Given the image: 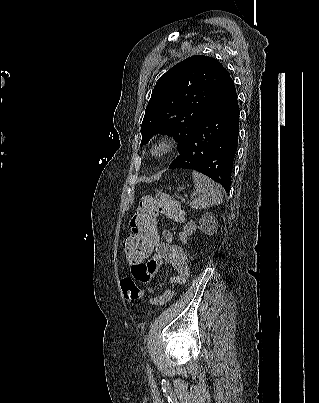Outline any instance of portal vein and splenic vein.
<instances>
[{
    "label": "portal vein and splenic vein",
    "instance_id": "1",
    "mask_svg": "<svg viewBox=\"0 0 319 403\" xmlns=\"http://www.w3.org/2000/svg\"><path fill=\"white\" fill-rule=\"evenodd\" d=\"M193 197H194V194L191 195V198H193ZM185 198H187V195H185ZM185 198H181V200H182L183 202H185Z\"/></svg>",
    "mask_w": 319,
    "mask_h": 403
}]
</instances>
